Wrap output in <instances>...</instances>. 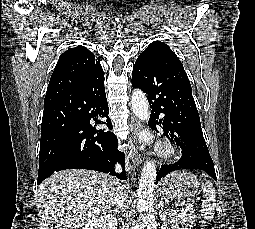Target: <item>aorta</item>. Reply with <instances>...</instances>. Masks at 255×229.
I'll list each match as a JSON object with an SVG mask.
<instances>
[{"label":"aorta","instance_id":"aorta-1","mask_svg":"<svg viewBox=\"0 0 255 229\" xmlns=\"http://www.w3.org/2000/svg\"><path fill=\"white\" fill-rule=\"evenodd\" d=\"M132 110L137 118L148 121L150 116L149 103L140 89H135L131 97ZM156 180V165L147 160L143 166L137 190V207L140 218L147 229H157L153 214V192Z\"/></svg>","mask_w":255,"mask_h":229}]
</instances>
